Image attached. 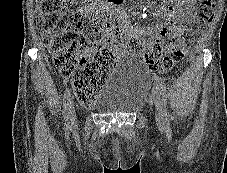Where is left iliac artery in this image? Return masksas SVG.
<instances>
[{
	"instance_id": "left-iliac-artery-1",
	"label": "left iliac artery",
	"mask_w": 227,
	"mask_h": 173,
	"mask_svg": "<svg viewBox=\"0 0 227 173\" xmlns=\"http://www.w3.org/2000/svg\"><path fill=\"white\" fill-rule=\"evenodd\" d=\"M154 80H155V88L160 92V94L163 97V101H164V108H165V124L166 126L169 125V121H170V115L166 110V100H167V90H166V86L163 82V80L161 79V77L159 76H154Z\"/></svg>"
}]
</instances>
